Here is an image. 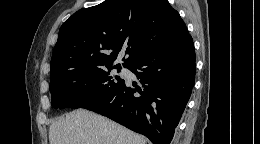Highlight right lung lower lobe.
<instances>
[{
    "instance_id": "obj_1",
    "label": "right lung lower lobe",
    "mask_w": 260,
    "mask_h": 144,
    "mask_svg": "<svg viewBox=\"0 0 260 144\" xmlns=\"http://www.w3.org/2000/svg\"><path fill=\"white\" fill-rule=\"evenodd\" d=\"M127 68L141 86L124 82L107 97L82 108L145 135L153 144H170L195 84L191 35L140 57Z\"/></svg>"
}]
</instances>
